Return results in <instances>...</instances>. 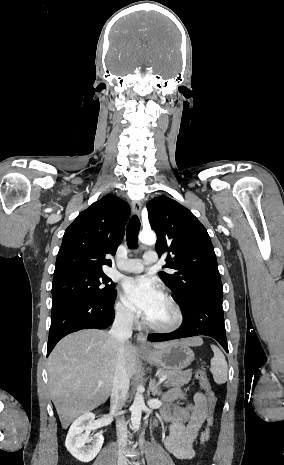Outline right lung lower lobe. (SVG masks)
I'll use <instances>...</instances> for the list:
<instances>
[{"instance_id": "98d812e1", "label": "right lung lower lobe", "mask_w": 284, "mask_h": 465, "mask_svg": "<svg viewBox=\"0 0 284 465\" xmlns=\"http://www.w3.org/2000/svg\"><path fill=\"white\" fill-rule=\"evenodd\" d=\"M116 292L107 298H73L52 308L47 357L64 336L86 328L104 329L114 320Z\"/></svg>"}]
</instances>
